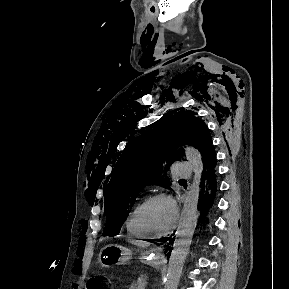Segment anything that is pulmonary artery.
Segmentation results:
<instances>
[{
    "label": "pulmonary artery",
    "mask_w": 289,
    "mask_h": 289,
    "mask_svg": "<svg viewBox=\"0 0 289 289\" xmlns=\"http://www.w3.org/2000/svg\"><path fill=\"white\" fill-rule=\"evenodd\" d=\"M172 174L179 178L191 177V166L187 162L179 161L173 164L171 168Z\"/></svg>",
    "instance_id": "obj_1"
}]
</instances>
